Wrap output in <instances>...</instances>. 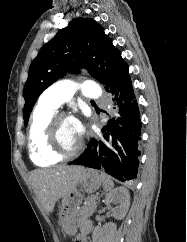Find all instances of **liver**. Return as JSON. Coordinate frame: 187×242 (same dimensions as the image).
Instances as JSON below:
<instances>
[{
  "mask_svg": "<svg viewBox=\"0 0 187 242\" xmlns=\"http://www.w3.org/2000/svg\"><path fill=\"white\" fill-rule=\"evenodd\" d=\"M83 169L81 166L62 165L31 173L35 194L47 212H53L56 202L77 186Z\"/></svg>",
  "mask_w": 187,
  "mask_h": 242,
  "instance_id": "6515ba94",
  "label": "liver"
}]
</instances>
